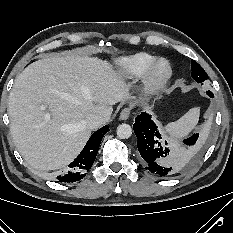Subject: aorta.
<instances>
[{
    "instance_id": "obj_1",
    "label": "aorta",
    "mask_w": 233,
    "mask_h": 233,
    "mask_svg": "<svg viewBox=\"0 0 233 233\" xmlns=\"http://www.w3.org/2000/svg\"><path fill=\"white\" fill-rule=\"evenodd\" d=\"M117 135L121 139H128L132 135V128L128 124H120L117 127Z\"/></svg>"
}]
</instances>
